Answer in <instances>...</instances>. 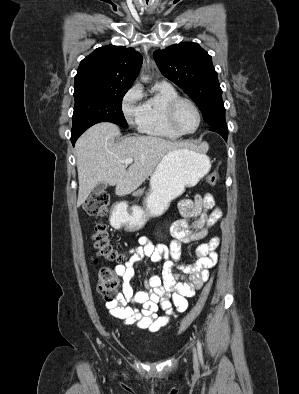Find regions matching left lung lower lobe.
<instances>
[{"mask_svg": "<svg viewBox=\"0 0 299 394\" xmlns=\"http://www.w3.org/2000/svg\"><path fill=\"white\" fill-rule=\"evenodd\" d=\"M210 130L219 133L227 141L228 129L226 125L211 126Z\"/></svg>", "mask_w": 299, "mask_h": 394, "instance_id": "obj_1", "label": "left lung lower lobe"}]
</instances>
